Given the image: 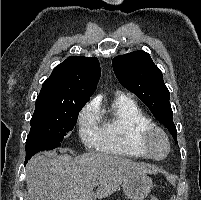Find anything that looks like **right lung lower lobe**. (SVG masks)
<instances>
[{"label": "right lung lower lobe", "mask_w": 201, "mask_h": 200, "mask_svg": "<svg viewBox=\"0 0 201 200\" xmlns=\"http://www.w3.org/2000/svg\"><path fill=\"white\" fill-rule=\"evenodd\" d=\"M58 146H60V142L53 143V142H47L43 140L26 142L25 165L28 162V160L37 152L42 150H51Z\"/></svg>", "instance_id": "obj_1"}]
</instances>
